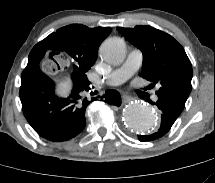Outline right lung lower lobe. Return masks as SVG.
Listing matches in <instances>:
<instances>
[{
	"label": "right lung lower lobe",
	"instance_id": "right-lung-lower-lobe-1",
	"mask_svg": "<svg viewBox=\"0 0 215 183\" xmlns=\"http://www.w3.org/2000/svg\"><path fill=\"white\" fill-rule=\"evenodd\" d=\"M41 59L31 51L22 72L19 94L23 113L41 137L53 142L70 140L85 128V111L98 96L92 97L95 92L91 91L93 87L86 74L73 71L71 94L59 98L54 92V82L39 68ZM102 100L110 105H121L120 94L113 89L107 90Z\"/></svg>",
	"mask_w": 215,
	"mask_h": 183
}]
</instances>
